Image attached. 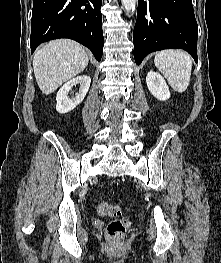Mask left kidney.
<instances>
[{"instance_id":"obj_1","label":"left kidney","mask_w":221,"mask_h":263,"mask_svg":"<svg viewBox=\"0 0 221 263\" xmlns=\"http://www.w3.org/2000/svg\"><path fill=\"white\" fill-rule=\"evenodd\" d=\"M147 87L157 99L164 101L170 98V91L165 79L157 72L150 71L146 77Z\"/></svg>"}]
</instances>
